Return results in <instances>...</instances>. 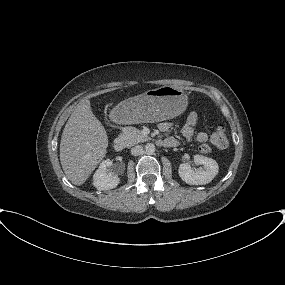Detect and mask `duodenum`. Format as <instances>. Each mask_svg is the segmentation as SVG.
Instances as JSON below:
<instances>
[{
	"instance_id": "obj_1",
	"label": "duodenum",
	"mask_w": 285,
	"mask_h": 285,
	"mask_svg": "<svg viewBox=\"0 0 285 285\" xmlns=\"http://www.w3.org/2000/svg\"><path fill=\"white\" fill-rule=\"evenodd\" d=\"M113 148L116 152H121L124 148V140L122 138H116L113 143Z\"/></svg>"
}]
</instances>
